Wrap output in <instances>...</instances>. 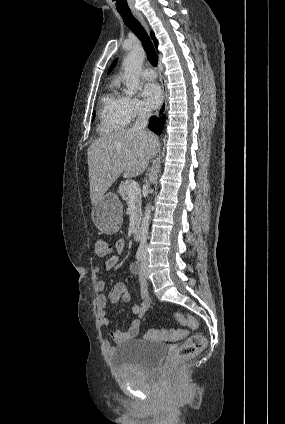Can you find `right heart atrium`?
Listing matches in <instances>:
<instances>
[{"label":"right heart atrium","mask_w":285,"mask_h":424,"mask_svg":"<svg viewBox=\"0 0 285 424\" xmlns=\"http://www.w3.org/2000/svg\"><path fill=\"white\" fill-rule=\"evenodd\" d=\"M148 112L147 106L140 99L126 97V113L129 122L147 115Z\"/></svg>","instance_id":"d8ad5b80"}]
</instances>
